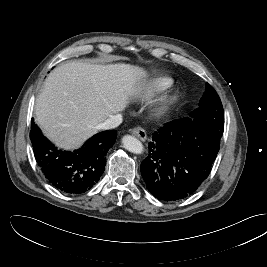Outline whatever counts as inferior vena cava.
<instances>
[{"instance_id": "1", "label": "inferior vena cava", "mask_w": 267, "mask_h": 267, "mask_svg": "<svg viewBox=\"0 0 267 267\" xmlns=\"http://www.w3.org/2000/svg\"><path fill=\"white\" fill-rule=\"evenodd\" d=\"M122 122V115L121 114H116L108 119H106L103 123L99 124V129L102 130H109V129H114L118 127Z\"/></svg>"}]
</instances>
